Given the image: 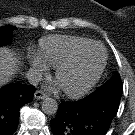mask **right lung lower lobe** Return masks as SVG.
<instances>
[{"mask_svg": "<svg viewBox=\"0 0 135 135\" xmlns=\"http://www.w3.org/2000/svg\"><path fill=\"white\" fill-rule=\"evenodd\" d=\"M35 87L19 83L0 90V135H12L19 121L20 108L33 100Z\"/></svg>", "mask_w": 135, "mask_h": 135, "instance_id": "right-lung-lower-lobe-1", "label": "right lung lower lobe"}]
</instances>
